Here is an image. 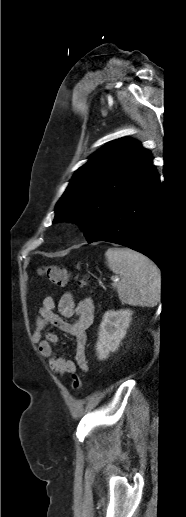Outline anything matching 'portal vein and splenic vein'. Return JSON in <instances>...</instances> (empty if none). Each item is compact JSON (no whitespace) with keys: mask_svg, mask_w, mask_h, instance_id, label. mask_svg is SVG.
Masks as SVG:
<instances>
[{"mask_svg":"<svg viewBox=\"0 0 186 517\" xmlns=\"http://www.w3.org/2000/svg\"><path fill=\"white\" fill-rule=\"evenodd\" d=\"M117 281H119V278L114 277V278H113V282H117Z\"/></svg>","mask_w":186,"mask_h":517,"instance_id":"obj_1","label":"portal vein and splenic vein"}]
</instances>
